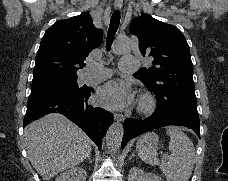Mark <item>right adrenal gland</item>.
Wrapping results in <instances>:
<instances>
[{"mask_svg": "<svg viewBox=\"0 0 228 181\" xmlns=\"http://www.w3.org/2000/svg\"><path fill=\"white\" fill-rule=\"evenodd\" d=\"M91 157H92V155H89V157H87V159H89L90 163H92Z\"/></svg>", "mask_w": 228, "mask_h": 181, "instance_id": "2a0ac1e0", "label": "right adrenal gland"}]
</instances>
